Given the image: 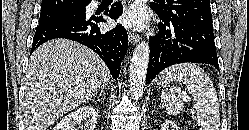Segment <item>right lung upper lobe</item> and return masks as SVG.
<instances>
[{
  "instance_id": "1",
  "label": "right lung upper lobe",
  "mask_w": 249,
  "mask_h": 130,
  "mask_svg": "<svg viewBox=\"0 0 249 130\" xmlns=\"http://www.w3.org/2000/svg\"><path fill=\"white\" fill-rule=\"evenodd\" d=\"M90 3V0H42V10H61L76 7L80 3Z\"/></svg>"
}]
</instances>
